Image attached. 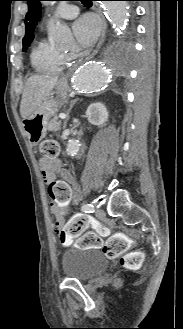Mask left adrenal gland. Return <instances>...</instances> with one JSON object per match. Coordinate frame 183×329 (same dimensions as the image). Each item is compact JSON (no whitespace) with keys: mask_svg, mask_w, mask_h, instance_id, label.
<instances>
[{"mask_svg":"<svg viewBox=\"0 0 183 329\" xmlns=\"http://www.w3.org/2000/svg\"><path fill=\"white\" fill-rule=\"evenodd\" d=\"M78 100H79V99L77 98V99H74V100H72V101L70 102V107H69V110H68V112H67L68 115H69L70 111L72 110L73 106L77 103ZM68 119H69V117H67V119H66L65 122H64V128H65L66 125H67V121H68Z\"/></svg>","mask_w":183,"mask_h":329,"instance_id":"a2214340","label":"left adrenal gland"}]
</instances>
